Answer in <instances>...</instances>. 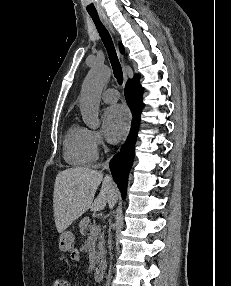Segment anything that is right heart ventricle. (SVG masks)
<instances>
[{"label":"right heart ventricle","instance_id":"1","mask_svg":"<svg viewBox=\"0 0 231 286\" xmlns=\"http://www.w3.org/2000/svg\"><path fill=\"white\" fill-rule=\"evenodd\" d=\"M65 161L75 167L88 166L97 159V149L92 143L90 130L77 123L70 125L63 140Z\"/></svg>","mask_w":231,"mask_h":286}]
</instances>
